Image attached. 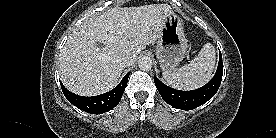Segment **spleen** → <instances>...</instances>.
Returning a JSON list of instances; mask_svg holds the SVG:
<instances>
[{"instance_id": "1", "label": "spleen", "mask_w": 276, "mask_h": 138, "mask_svg": "<svg viewBox=\"0 0 276 138\" xmlns=\"http://www.w3.org/2000/svg\"><path fill=\"white\" fill-rule=\"evenodd\" d=\"M216 61L215 48L212 44H205L199 54L175 71L163 72V78L168 85L179 90H193L206 84L214 70Z\"/></svg>"}]
</instances>
